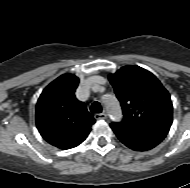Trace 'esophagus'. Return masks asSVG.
<instances>
[{
  "label": "esophagus",
  "mask_w": 190,
  "mask_h": 188,
  "mask_svg": "<svg viewBox=\"0 0 190 188\" xmlns=\"http://www.w3.org/2000/svg\"><path fill=\"white\" fill-rule=\"evenodd\" d=\"M94 118L96 119V120H102V119H106L107 118V115H106V113H97V114H95L94 115Z\"/></svg>",
  "instance_id": "1"
}]
</instances>
